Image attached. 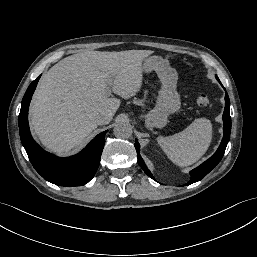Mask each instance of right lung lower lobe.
Segmentation results:
<instances>
[{
    "label": "right lung lower lobe",
    "mask_w": 257,
    "mask_h": 257,
    "mask_svg": "<svg viewBox=\"0 0 257 257\" xmlns=\"http://www.w3.org/2000/svg\"><path fill=\"white\" fill-rule=\"evenodd\" d=\"M40 76L28 87L21 103L19 133L29 160L35 170L47 181L59 186H82L96 173L107 131L98 134L81 152L59 158L45 152L32 138L28 125V108Z\"/></svg>",
    "instance_id": "right-lung-lower-lobe-1"
}]
</instances>
